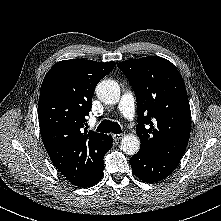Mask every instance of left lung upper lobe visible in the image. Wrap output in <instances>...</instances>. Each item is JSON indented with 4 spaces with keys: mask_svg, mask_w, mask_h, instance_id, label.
<instances>
[{
    "mask_svg": "<svg viewBox=\"0 0 221 221\" xmlns=\"http://www.w3.org/2000/svg\"><path fill=\"white\" fill-rule=\"evenodd\" d=\"M117 66L137 97L139 151L180 161L191 130V111L180 73L170 61L157 56L129 59Z\"/></svg>",
    "mask_w": 221,
    "mask_h": 221,
    "instance_id": "5c2ea615",
    "label": "left lung upper lobe"
}]
</instances>
